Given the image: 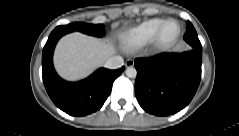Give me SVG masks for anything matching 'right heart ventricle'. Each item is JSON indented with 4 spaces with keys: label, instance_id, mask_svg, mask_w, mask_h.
Wrapping results in <instances>:
<instances>
[{
    "label": "right heart ventricle",
    "instance_id": "e07e8e85",
    "mask_svg": "<svg viewBox=\"0 0 239 136\" xmlns=\"http://www.w3.org/2000/svg\"><path fill=\"white\" fill-rule=\"evenodd\" d=\"M163 23L164 21L160 19H154L143 23L134 31L133 39L137 42H146L152 39Z\"/></svg>",
    "mask_w": 239,
    "mask_h": 136
}]
</instances>
